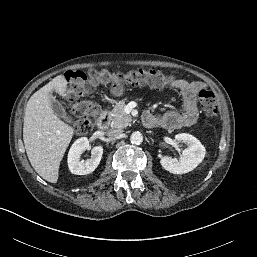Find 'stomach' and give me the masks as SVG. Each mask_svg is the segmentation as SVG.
I'll return each instance as SVG.
<instances>
[{
    "label": "stomach",
    "instance_id": "obj_1",
    "mask_svg": "<svg viewBox=\"0 0 257 257\" xmlns=\"http://www.w3.org/2000/svg\"><path fill=\"white\" fill-rule=\"evenodd\" d=\"M111 93L115 96H121L123 94V88L121 86L112 87Z\"/></svg>",
    "mask_w": 257,
    "mask_h": 257
}]
</instances>
